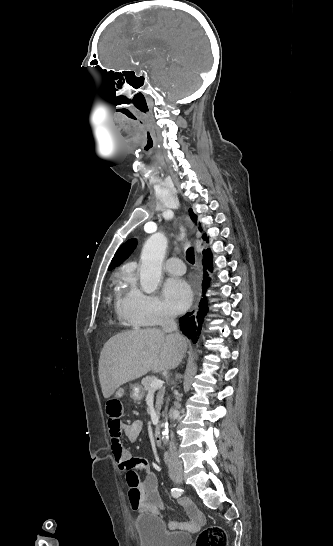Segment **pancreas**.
Here are the masks:
<instances>
[{
	"label": "pancreas",
	"mask_w": 333,
	"mask_h": 546,
	"mask_svg": "<svg viewBox=\"0 0 333 546\" xmlns=\"http://www.w3.org/2000/svg\"><path fill=\"white\" fill-rule=\"evenodd\" d=\"M155 376H146L142 379V385L144 393L150 390V384L152 380H154ZM165 390L163 388H160L156 394V408H157V414L160 415V409L161 405L163 403V397H164Z\"/></svg>",
	"instance_id": "obj_1"
}]
</instances>
